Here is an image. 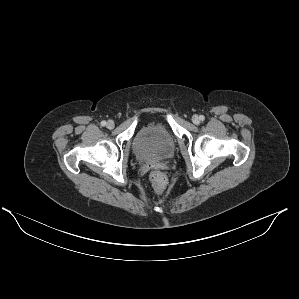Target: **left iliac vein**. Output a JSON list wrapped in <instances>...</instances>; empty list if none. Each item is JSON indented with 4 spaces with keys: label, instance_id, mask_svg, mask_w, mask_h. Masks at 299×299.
I'll list each match as a JSON object with an SVG mask.
<instances>
[{
    "label": "left iliac vein",
    "instance_id": "obj_1",
    "mask_svg": "<svg viewBox=\"0 0 299 299\" xmlns=\"http://www.w3.org/2000/svg\"><path fill=\"white\" fill-rule=\"evenodd\" d=\"M192 122H193L194 124H199V122H200L199 117H198L197 115H194V116L192 117Z\"/></svg>",
    "mask_w": 299,
    "mask_h": 299
}]
</instances>
